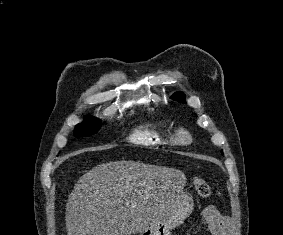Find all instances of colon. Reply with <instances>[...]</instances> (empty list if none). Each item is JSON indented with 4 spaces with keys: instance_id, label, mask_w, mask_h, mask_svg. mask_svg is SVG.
I'll return each mask as SVG.
<instances>
[{
    "instance_id": "1",
    "label": "colon",
    "mask_w": 283,
    "mask_h": 235,
    "mask_svg": "<svg viewBox=\"0 0 283 235\" xmlns=\"http://www.w3.org/2000/svg\"><path fill=\"white\" fill-rule=\"evenodd\" d=\"M193 185L198 193V195L202 198H208L212 194V189L210 184L207 182V180L201 176H196L193 179Z\"/></svg>"
}]
</instances>
